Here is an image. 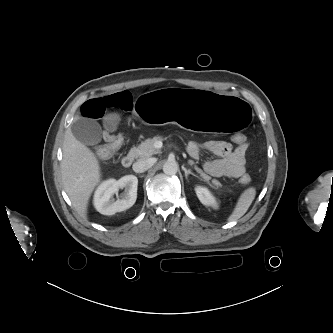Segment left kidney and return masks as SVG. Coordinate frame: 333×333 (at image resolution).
I'll use <instances>...</instances> for the list:
<instances>
[{"mask_svg": "<svg viewBox=\"0 0 333 333\" xmlns=\"http://www.w3.org/2000/svg\"><path fill=\"white\" fill-rule=\"evenodd\" d=\"M196 194L200 202L206 206H211L217 208V202L214 196L209 192V190L205 187L197 186Z\"/></svg>", "mask_w": 333, "mask_h": 333, "instance_id": "left-kidney-1", "label": "left kidney"}]
</instances>
